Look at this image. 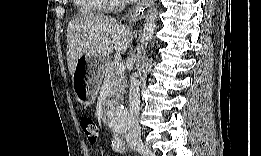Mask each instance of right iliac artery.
<instances>
[{"mask_svg":"<svg viewBox=\"0 0 261 156\" xmlns=\"http://www.w3.org/2000/svg\"><path fill=\"white\" fill-rule=\"evenodd\" d=\"M112 146L117 152H123L125 150V143L120 138L112 140Z\"/></svg>","mask_w":261,"mask_h":156,"instance_id":"1","label":"right iliac artery"}]
</instances>
